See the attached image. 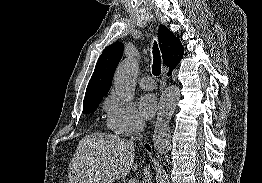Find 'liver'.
<instances>
[{
    "instance_id": "1",
    "label": "liver",
    "mask_w": 262,
    "mask_h": 183,
    "mask_svg": "<svg viewBox=\"0 0 262 183\" xmlns=\"http://www.w3.org/2000/svg\"><path fill=\"white\" fill-rule=\"evenodd\" d=\"M133 141L116 135L92 133L84 136L71 159L69 183H112L136 171Z\"/></svg>"
}]
</instances>
